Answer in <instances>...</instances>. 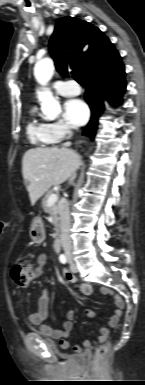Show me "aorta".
<instances>
[{"label": "aorta", "mask_w": 145, "mask_h": 385, "mask_svg": "<svg viewBox=\"0 0 145 385\" xmlns=\"http://www.w3.org/2000/svg\"><path fill=\"white\" fill-rule=\"evenodd\" d=\"M54 73L53 61L49 58L42 59L35 64L34 76L42 89L37 92L41 102V110L47 119H54L61 113L60 103L54 98L52 92L45 88Z\"/></svg>", "instance_id": "762f6f07"}]
</instances>
